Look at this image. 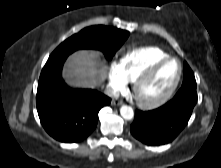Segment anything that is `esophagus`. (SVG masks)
I'll list each match as a JSON object with an SVG mask.
<instances>
[{
  "label": "esophagus",
  "instance_id": "obj_1",
  "mask_svg": "<svg viewBox=\"0 0 221 168\" xmlns=\"http://www.w3.org/2000/svg\"><path fill=\"white\" fill-rule=\"evenodd\" d=\"M112 105L114 106H120L123 104V102L121 100H115L113 99L112 102H111Z\"/></svg>",
  "mask_w": 221,
  "mask_h": 168
}]
</instances>
